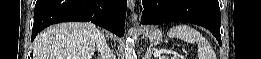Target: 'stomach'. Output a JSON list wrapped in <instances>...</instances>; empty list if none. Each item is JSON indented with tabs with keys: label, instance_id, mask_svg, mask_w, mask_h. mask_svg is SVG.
<instances>
[{
	"label": "stomach",
	"instance_id": "1",
	"mask_svg": "<svg viewBox=\"0 0 261 59\" xmlns=\"http://www.w3.org/2000/svg\"><path fill=\"white\" fill-rule=\"evenodd\" d=\"M143 34L145 38L150 40L151 42L160 41L163 38V33L160 29L155 28L153 26H147L143 29Z\"/></svg>",
	"mask_w": 261,
	"mask_h": 59
}]
</instances>
